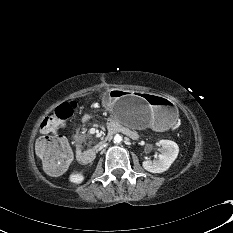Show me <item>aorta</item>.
I'll list each match as a JSON object with an SVG mask.
<instances>
[{
    "label": "aorta",
    "mask_w": 233,
    "mask_h": 233,
    "mask_svg": "<svg viewBox=\"0 0 233 233\" xmlns=\"http://www.w3.org/2000/svg\"><path fill=\"white\" fill-rule=\"evenodd\" d=\"M122 137L120 135H115L114 136V143H121Z\"/></svg>",
    "instance_id": "aorta-1"
}]
</instances>
